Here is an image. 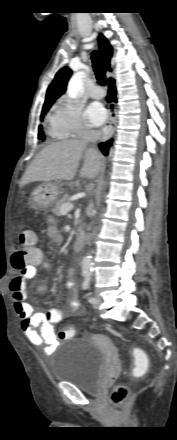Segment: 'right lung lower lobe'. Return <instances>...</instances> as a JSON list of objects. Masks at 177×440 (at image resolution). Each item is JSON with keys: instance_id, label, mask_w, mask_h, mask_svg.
<instances>
[{"instance_id": "1", "label": "right lung lower lobe", "mask_w": 177, "mask_h": 440, "mask_svg": "<svg viewBox=\"0 0 177 440\" xmlns=\"http://www.w3.org/2000/svg\"><path fill=\"white\" fill-rule=\"evenodd\" d=\"M108 86H109V89H108L107 101L108 102H116L117 99H116L115 80L110 78L108 80ZM113 106H114L113 103H111V108H113ZM111 142H112V140H109V141H107L105 143H101L99 145V147L102 150V152L104 153V155L108 154V150H109V147L111 146Z\"/></svg>"}]
</instances>
